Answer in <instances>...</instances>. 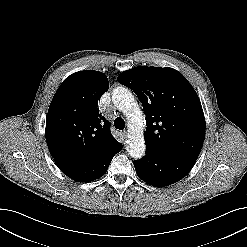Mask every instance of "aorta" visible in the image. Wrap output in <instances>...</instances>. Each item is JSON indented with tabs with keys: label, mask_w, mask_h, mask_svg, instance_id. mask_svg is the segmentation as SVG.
Segmentation results:
<instances>
[{
	"label": "aorta",
	"mask_w": 247,
	"mask_h": 247,
	"mask_svg": "<svg viewBox=\"0 0 247 247\" xmlns=\"http://www.w3.org/2000/svg\"><path fill=\"white\" fill-rule=\"evenodd\" d=\"M112 101L128 119L129 134L127 140V151L129 155L134 159L142 158L146 149L142 111L138 107L133 94L125 87L120 86L113 90Z\"/></svg>",
	"instance_id": "obj_1"
}]
</instances>
